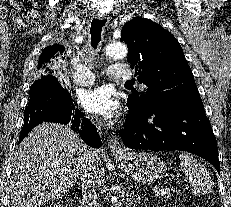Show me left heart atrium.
<instances>
[{
  "mask_svg": "<svg viewBox=\"0 0 231 207\" xmlns=\"http://www.w3.org/2000/svg\"><path fill=\"white\" fill-rule=\"evenodd\" d=\"M81 106L91 114L111 119L118 114L119 104L105 87L84 90L79 94Z\"/></svg>",
  "mask_w": 231,
  "mask_h": 207,
  "instance_id": "1",
  "label": "left heart atrium"
}]
</instances>
